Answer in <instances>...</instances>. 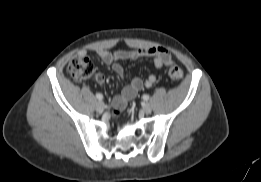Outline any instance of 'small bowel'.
I'll return each mask as SVG.
<instances>
[{
	"label": "small bowel",
	"mask_w": 261,
	"mask_h": 182,
	"mask_svg": "<svg viewBox=\"0 0 261 182\" xmlns=\"http://www.w3.org/2000/svg\"><path fill=\"white\" fill-rule=\"evenodd\" d=\"M96 54L101 62L105 65L111 66L114 73L122 80L127 78L125 69L121 64L122 61H133L143 57H148L153 60L154 66L157 69H162L163 67L169 66L173 62L172 55L167 49L163 47L118 50L115 52H110L105 49H98ZM78 55L85 57L87 53L85 51H80ZM95 81L99 85H103L105 82L104 75L101 73L96 74ZM155 81L156 77L152 73L149 74L145 80L141 79L140 77L132 78L123 88L122 92L113 98V114L117 116L124 109L128 100L134 98L144 86L151 87Z\"/></svg>",
	"instance_id": "c3829d8e"
}]
</instances>
